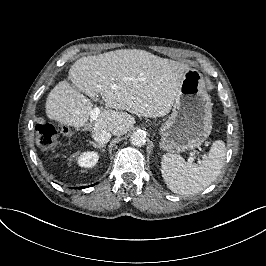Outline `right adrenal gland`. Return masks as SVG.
Returning <instances> with one entry per match:
<instances>
[{
    "label": "right adrenal gland",
    "mask_w": 266,
    "mask_h": 266,
    "mask_svg": "<svg viewBox=\"0 0 266 266\" xmlns=\"http://www.w3.org/2000/svg\"><path fill=\"white\" fill-rule=\"evenodd\" d=\"M89 143L92 144V146H93L94 148H99V149H102V151H105V147H106L105 144H96V143H94L93 141H90Z\"/></svg>",
    "instance_id": "2a0ac1e0"
}]
</instances>
